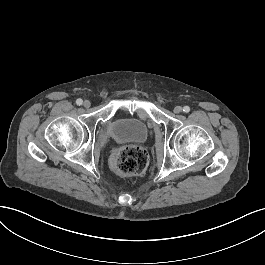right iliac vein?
<instances>
[{"label":"right iliac vein","instance_id":"obj_1","mask_svg":"<svg viewBox=\"0 0 265 265\" xmlns=\"http://www.w3.org/2000/svg\"><path fill=\"white\" fill-rule=\"evenodd\" d=\"M90 105H91V103L88 100H85L84 103H83V106L86 107V108L90 107Z\"/></svg>","mask_w":265,"mask_h":265}]
</instances>
